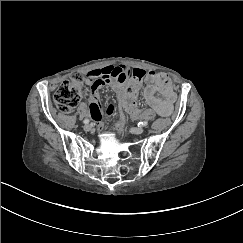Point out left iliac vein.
Here are the masks:
<instances>
[{
    "instance_id": "4c4485c4",
    "label": "left iliac vein",
    "mask_w": 243,
    "mask_h": 243,
    "mask_svg": "<svg viewBox=\"0 0 243 243\" xmlns=\"http://www.w3.org/2000/svg\"><path fill=\"white\" fill-rule=\"evenodd\" d=\"M132 133L134 134H142L144 132V128L142 127H137V128H133L131 129Z\"/></svg>"
}]
</instances>
